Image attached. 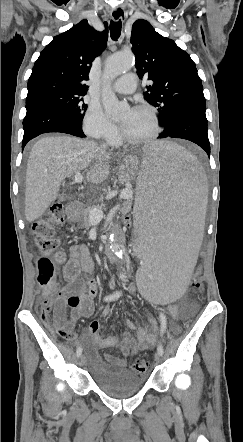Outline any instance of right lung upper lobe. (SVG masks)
I'll use <instances>...</instances> for the list:
<instances>
[{
    "instance_id": "obj_1",
    "label": "right lung upper lobe",
    "mask_w": 243,
    "mask_h": 442,
    "mask_svg": "<svg viewBox=\"0 0 243 442\" xmlns=\"http://www.w3.org/2000/svg\"><path fill=\"white\" fill-rule=\"evenodd\" d=\"M107 39V30L96 31L86 19L55 36L34 64L27 98L50 90L86 94L92 61L106 48Z\"/></svg>"
}]
</instances>
